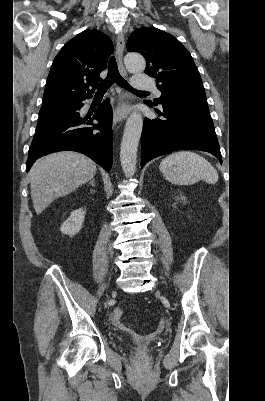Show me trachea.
<instances>
[{"label": "trachea", "mask_w": 265, "mask_h": 401, "mask_svg": "<svg viewBox=\"0 0 265 401\" xmlns=\"http://www.w3.org/2000/svg\"><path fill=\"white\" fill-rule=\"evenodd\" d=\"M113 83H116L119 87H122L125 90L130 91L131 93H149L142 92L141 90H136L135 88L131 87L129 83L124 80V78L121 77L114 56H112L109 60L107 77L105 78V80H103V82L98 83V85L96 86L97 93L106 92L108 88L113 85Z\"/></svg>", "instance_id": "1"}]
</instances>
